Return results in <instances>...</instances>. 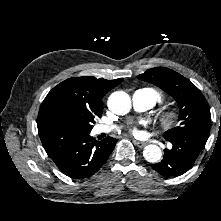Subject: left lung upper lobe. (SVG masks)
Returning <instances> with one entry per match:
<instances>
[{"instance_id":"obj_1","label":"left lung upper lobe","mask_w":221,"mask_h":221,"mask_svg":"<svg viewBox=\"0 0 221 221\" xmlns=\"http://www.w3.org/2000/svg\"><path fill=\"white\" fill-rule=\"evenodd\" d=\"M138 79L160 87L176 100L180 124L165 133L166 140L192 132L210 131L209 105L202 92L188 79L165 67L148 69Z\"/></svg>"}]
</instances>
